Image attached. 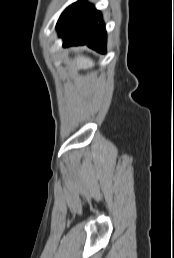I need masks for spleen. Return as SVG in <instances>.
Here are the masks:
<instances>
[{"mask_svg":"<svg viewBox=\"0 0 174 258\" xmlns=\"http://www.w3.org/2000/svg\"><path fill=\"white\" fill-rule=\"evenodd\" d=\"M75 61L78 68L88 69L94 66V62L90 58L84 56H77Z\"/></svg>","mask_w":174,"mask_h":258,"instance_id":"1","label":"spleen"}]
</instances>
